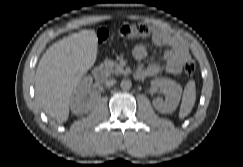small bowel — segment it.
<instances>
[{"instance_id": "obj_1", "label": "small bowel", "mask_w": 243, "mask_h": 167, "mask_svg": "<svg viewBox=\"0 0 243 167\" xmlns=\"http://www.w3.org/2000/svg\"><path fill=\"white\" fill-rule=\"evenodd\" d=\"M153 42L157 46L167 48L162 60L138 69L136 76L146 78L158 76L161 72L172 75L180 73L183 64L189 59V51L185 42L178 36L162 29L154 30ZM132 55L137 61H142L147 55L146 43L144 41L137 42L132 48Z\"/></svg>"}]
</instances>
